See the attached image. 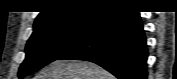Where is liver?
Masks as SVG:
<instances>
[{"label":"liver","mask_w":177,"mask_h":79,"mask_svg":"<svg viewBox=\"0 0 177 79\" xmlns=\"http://www.w3.org/2000/svg\"><path fill=\"white\" fill-rule=\"evenodd\" d=\"M35 79H113V76L92 62L56 60L41 69Z\"/></svg>","instance_id":"obj_1"}]
</instances>
